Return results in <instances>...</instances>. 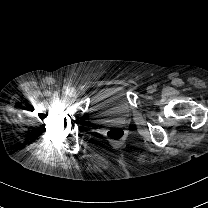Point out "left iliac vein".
<instances>
[{"instance_id":"left-iliac-vein-1","label":"left iliac vein","mask_w":208,"mask_h":208,"mask_svg":"<svg viewBox=\"0 0 208 208\" xmlns=\"http://www.w3.org/2000/svg\"><path fill=\"white\" fill-rule=\"evenodd\" d=\"M147 91L149 93H153L155 91V88L153 86H148Z\"/></svg>"}]
</instances>
